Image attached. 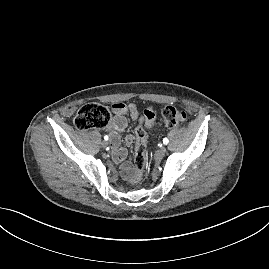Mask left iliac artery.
Returning a JSON list of instances; mask_svg holds the SVG:
<instances>
[{
	"mask_svg": "<svg viewBox=\"0 0 269 269\" xmlns=\"http://www.w3.org/2000/svg\"><path fill=\"white\" fill-rule=\"evenodd\" d=\"M163 143H164L165 145H167V144L169 143L168 138H164V139H163Z\"/></svg>",
	"mask_w": 269,
	"mask_h": 269,
	"instance_id": "44dca946",
	"label": "left iliac artery"
}]
</instances>
